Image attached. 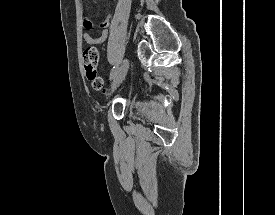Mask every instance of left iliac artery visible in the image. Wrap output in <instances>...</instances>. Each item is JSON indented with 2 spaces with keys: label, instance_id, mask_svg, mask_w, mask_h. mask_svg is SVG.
<instances>
[{
  "label": "left iliac artery",
  "instance_id": "44dca946",
  "mask_svg": "<svg viewBox=\"0 0 275 215\" xmlns=\"http://www.w3.org/2000/svg\"><path fill=\"white\" fill-rule=\"evenodd\" d=\"M117 69H118L117 66H114V67L112 68V70H111V72H110V77H109L110 80H112V79L116 76V74H117Z\"/></svg>",
  "mask_w": 275,
  "mask_h": 215
}]
</instances>
